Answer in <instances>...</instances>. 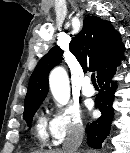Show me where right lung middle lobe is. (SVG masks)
Here are the masks:
<instances>
[{
    "instance_id": "obj_1",
    "label": "right lung middle lobe",
    "mask_w": 130,
    "mask_h": 153,
    "mask_svg": "<svg viewBox=\"0 0 130 153\" xmlns=\"http://www.w3.org/2000/svg\"><path fill=\"white\" fill-rule=\"evenodd\" d=\"M40 103L31 105L24 110L23 118L26 121L27 125L29 126L32 122V117L34 116L35 112L37 111Z\"/></svg>"
}]
</instances>
